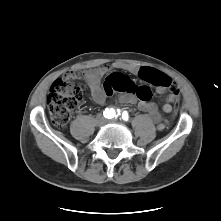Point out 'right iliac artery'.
Instances as JSON below:
<instances>
[{
  "mask_svg": "<svg viewBox=\"0 0 221 221\" xmlns=\"http://www.w3.org/2000/svg\"><path fill=\"white\" fill-rule=\"evenodd\" d=\"M104 117L108 118V119H112L114 117H117L118 114H120V112L118 111L117 113L115 112V110L113 108H106L105 111L103 112Z\"/></svg>",
  "mask_w": 221,
  "mask_h": 221,
  "instance_id": "obj_1",
  "label": "right iliac artery"
}]
</instances>
